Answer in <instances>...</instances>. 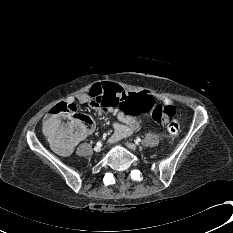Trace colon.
<instances>
[{
  "instance_id": "5ec220e1",
  "label": "colon",
  "mask_w": 233,
  "mask_h": 233,
  "mask_svg": "<svg viewBox=\"0 0 233 233\" xmlns=\"http://www.w3.org/2000/svg\"><path fill=\"white\" fill-rule=\"evenodd\" d=\"M90 95L94 101L118 107L128 115L148 111L153 121L158 124L166 123L170 136H178L181 132L175 107L158 104L149 90L133 91L119 82H98L92 86ZM44 129L53 144L66 148L72 141L87 137L93 130V121L88 115L78 113L75 106L60 103L51 109Z\"/></svg>"
}]
</instances>
